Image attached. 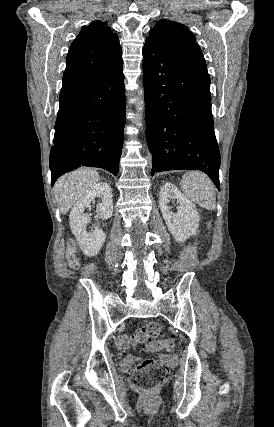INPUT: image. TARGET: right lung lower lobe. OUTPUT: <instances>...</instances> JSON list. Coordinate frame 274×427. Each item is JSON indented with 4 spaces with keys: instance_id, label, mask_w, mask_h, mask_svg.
Masks as SVG:
<instances>
[{
    "instance_id": "98d812e1",
    "label": "right lung lower lobe",
    "mask_w": 274,
    "mask_h": 427,
    "mask_svg": "<svg viewBox=\"0 0 274 427\" xmlns=\"http://www.w3.org/2000/svg\"><path fill=\"white\" fill-rule=\"evenodd\" d=\"M50 152L51 184L80 166L116 175L123 145V63L92 80L61 89Z\"/></svg>"
}]
</instances>
